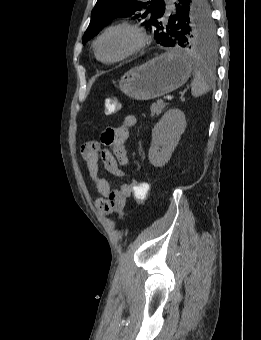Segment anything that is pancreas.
Masks as SVG:
<instances>
[{
	"instance_id": "obj_1",
	"label": "pancreas",
	"mask_w": 261,
	"mask_h": 340,
	"mask_svg": "<svg viewBox=\"0 0 261 340\" xmlns=\"http://www.w3.org/2000/svg\"><path fill=\"white\" fill-rule=\"evenodd\" d=\"M165 106L166 104L162 100H158L156 103H153L150 108L151 116L154 117L160 115Z\"/></svg>"
}]
</instances>
